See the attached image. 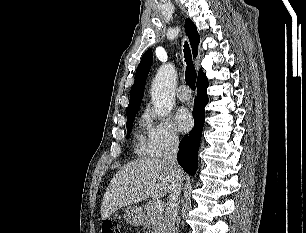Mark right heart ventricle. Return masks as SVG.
I'll return each mask as SVG.
<instances>
[{"mask_svg": "<svg viewBox=\"0 0 306 233\" xmlns=\"http://www.w3.org/2000/svg\"><path fill=\"white\" fill-rule=\"evenodd\" d=\"M146 126H147L146 120L143 118L140 120L135 132L134 149L135 152L140 156H145L146 154H148V143L147 140L145 139Z\"/></svg>", "mask_w": 306, "mask_h": 233, "instance_id": "obj_1", "label": "right heart ventricle"}]
</instances>
